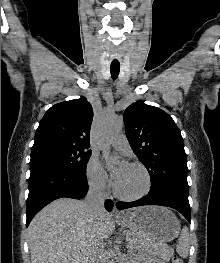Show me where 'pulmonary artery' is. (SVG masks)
Here are the masks:
<instances>
[{"instance_id":"1","label":"pulmonary artery","mask_w":220,"mask_h":263,"mask_svg":"<svg viewBox=\"0 0 220 263\" xmlns=\"http://www.w3.org/2000/svg\"><path fill=\"white\" fill-rule=\"evenodd\" d=\"M112 145L116 149H124L128 146V140L124 134H119L112 140Z\"/></svg>"}]
</instances>
